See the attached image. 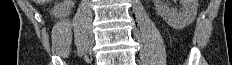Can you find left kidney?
Returning <instances> with one entry per match:
<instances>
[{
	"label": "left kidney",
	"instance_id": "5707ae66",
	"mask_svg": "<svg viewBox=\"0 0 232 65\" xmlns=\"http://www.w3.org/2000/svg\"><path fill=\"white\" fill-rule=\"evenodd\" d=\"M182 11L177 12L176 9H170L165 0H154V5L159 15L165 22L175 29H183L191 24L198 9L197 0H180Z\"/></svg>",
	"mask_w": 232,
	"mask_h": 65
}]
</instances>
